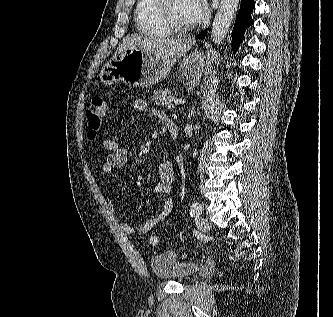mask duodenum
Wrapping results in <instances>:
<instances>
[{
    "label": "duodenum",
    "instance_id": "410a0bca",
    "mask_svg": "<svg viewBox=\"0 0 333 317\" xmlns=\"http://www.w3.org/2000/svg\"><path fill=\"white\" fill-rule=\"evenodd\" d=\"M166 126H167V129L169 131L171 138L174 140L177 139L178 135H179V127H178L177 123H175L172 120H169L167 122Z\"/></svg>",
    "mask_w": 333,
    "mask_h": 317
}]
</instances>
